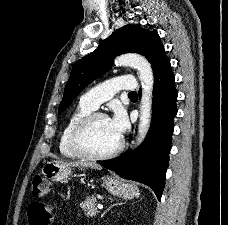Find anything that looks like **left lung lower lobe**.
Here are the masks:
<instances>
[{"mask_svg": "<svg viewBox=\"0 0 228 225\" xmlns=\"http://www.w3.org/2000/svg\"><path fill=\"white\" fill-rule=\"evenodd\" d=\"M176 100L175 78L166 56L154 70L152 120L144 142L134 151H127L111 160L98 161L122 178L148 185L158 199L165 185L173 119L177 114Z\"/></svg>", "mask_w": 228, "mask_h": 225, "instance_id": "0a47b994", "label": "left lung lower lobe"}]
</instances>
